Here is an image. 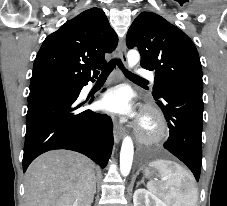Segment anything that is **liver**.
<instances>
[{"label": "liver", "instance_id": "1", "mask_svg": "<svg viewBox=\"0 0 227 206\" xmlns=\"http://www.w3.org/2000/svg\"><path fill=\"white\" fill-rule=\"evenodd\" d=\"M94 190L93 162L72 151L44 153L25 174V206H91Z\"/></svg>", "mask_w": 227, "mask_h": 206}]
</instances>
